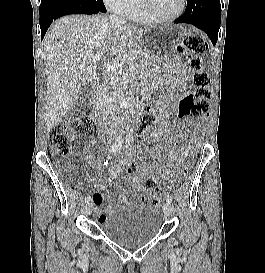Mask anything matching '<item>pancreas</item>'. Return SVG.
<instances>
[{
    "label": "pancreas",
    "mask_w": 265,
    "mask_h": 273,
    "mask_svg": "<svg viewBox=\"0 0 265 273\" xmlns=\"http://www.w3.org/2000/svg\"><path fill=\"white\" fill-rule=\"evenodd\" d=\"M121 62H128L130 66H134L136 71L143 70L145 66L149 63L148 54L143 51L141 48L137 47L133 51L125 53ZM122 77L119 74L111 75V82L109 85L104 86L99 93V98L96 102L98 109L107 111L110 109L111 103L114 100L113 96L116 91L120 90L122 87ZM117 92L116 94H119ZM115 94V95H116Z\"/></svg>",
    "instance_id": "cf45deb5"
}]
</instances>
